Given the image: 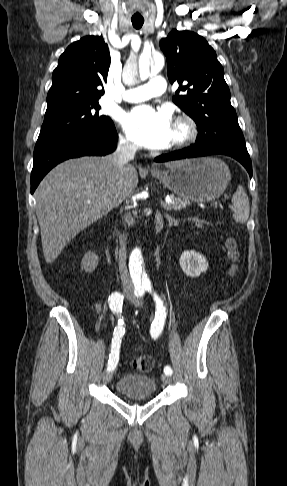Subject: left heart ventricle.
<instances>
[{"instance_id": "left-heart-ventricle-1", "label": "left heart ventricle", "mask_w": 287, "mask_h": 486, "mask_svg": "<svg viewBox=\"0 0 287 486\" xmlns=\"http://www.w3.org/2000/svg\"><path fill=\"white\" fill-rule=\"evenodd\" d=\"M180 134V129H178L175 125L173 126V133H172V140L175 139Z\"/></svg>"}]
</instances>
